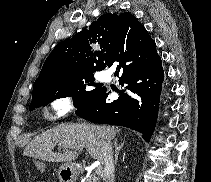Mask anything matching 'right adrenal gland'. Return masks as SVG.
I'll return each instance as SVG.
<instances>
[{"instance_id": "right-adrenal-gland-1", "label": "right adrenal gland", "mask_w": 211, "mask_h": 182, "mask_svg": "<svg viewBox=\"0 0 211 182\" xmlns=\"http://www.w3.org/2000/svg\"><path fill=\"white\" fill-rule=\"evenodd\" d=\"M123 145H124V143H121L120 145H118L117 144V140H115V142H114V146H115V163H117V161H118L119 151L123 147Z\"/></svg>"}]
</instances>
